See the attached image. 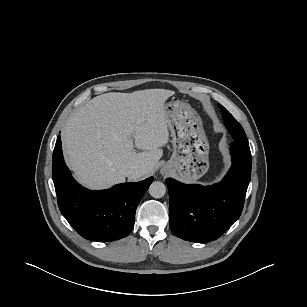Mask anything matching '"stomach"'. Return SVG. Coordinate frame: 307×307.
Returning a JSON list of instances; mask_svg holds the SVG:
<instances>
[{
	"instance_id": "stomach-1",
	"label": "stomach",
	"mask_w": 307,
	"mask_h": 307,
	"mask_svg": "<svg viewBox=\"0 0 307 307\" xmlns=\"http://www.w3.org/2000/svg\"><path fill=\"white\" fill-rule=\"evenodd\" d=\"M173 153L163 167L184 182L201 178L209 169V142L198 113L187 103L172 100L165 104Z\"/></svg>"
}]
</instances>
